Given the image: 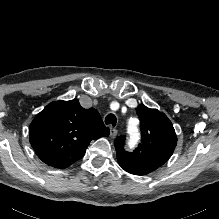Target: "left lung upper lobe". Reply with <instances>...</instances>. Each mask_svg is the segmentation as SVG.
Masks as SVG:
<instances>
[{"mask_svg":"<svg viewBox=\"0 0 219 219\" xmlns=\"http://www.w3.org/2000/svg\"><path fill=\"white\" fill-rule=\"evenodd\" d=\"M141 143L133 152L124 150V136L115 140L118 163L126 172L147 175L160 168L171 157L177 143L174 127L167 116L157 109L140 104Z\"/></svg>","mask_w":219,"mask_h":219,"instance_id":"obj_1","label":"left lung upper lobe"}]
</instances>
